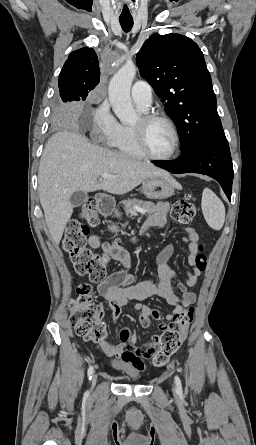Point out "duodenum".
Here are the masks:
<instances>
[{"label": "duodenum", "instance_id": "obj_1", "mask_svg": "<svg viewBox=\"0 0 256 445\" xmlns=\"http://www.w3.org/2000/svg\"><path fill=\"white\" fill-rule=\"evenodd\" d=\"M96 208L100 215L108 216L113 209V202L106 196L97 195L95 197Z\"/></svg>", "mask_w": 256, "mask_h": 445}]
</instances>
